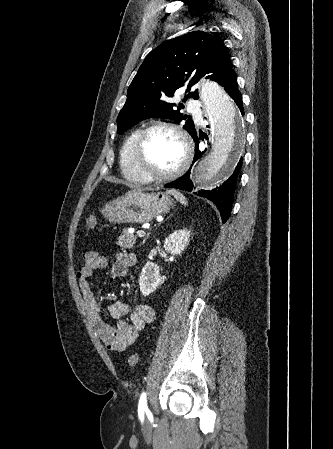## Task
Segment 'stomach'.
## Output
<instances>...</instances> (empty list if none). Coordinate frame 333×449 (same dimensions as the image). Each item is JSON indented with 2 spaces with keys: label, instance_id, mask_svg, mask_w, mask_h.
Returning <instances> with one entry per match:
<instances>
[{
  "label": "stomach",
  "instance_id": "obj_1",
  "mask_svg": "<svg viewBox=\"0 0 333 449\" xmlns=\"http://www.w3.org/2000/svg\"><path fill=\"white\" fill-rule=\"evenodd\" d=\"M171 206L172 200L167 193L131 191L107 203L102 214L106 220L116 224H144L156 216L167 213Z\"/></svg>",
  "mask_w": 333,
  "mask_h": 449
}]
</instances>
